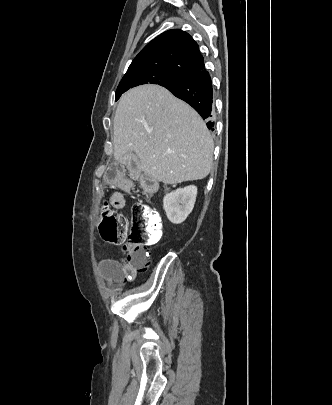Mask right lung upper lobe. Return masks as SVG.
<instances>
[{
    "label": "right lung upper lobe",
    "instance_id": "1",
    "mask_svg": "<svg viewBox=\"0 0 332 405\" xmlns=\"http://www.w3.org/2000/svg\"><path fill=\"white\" fill-rule=\"evenodd\" d=\"M204 68L198 44L185 31L172 29L150 41L134 58L126 73L157 70L185 78Z\"/></svg>",
    "mask_w": 332,
    "mask_h": 405
}]
</instances>
